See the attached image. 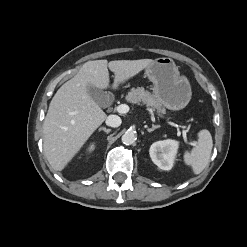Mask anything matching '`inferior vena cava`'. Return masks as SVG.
<instances>
[{
    "instance_id": "602c4592",
    "label": "inferior vena cava",
    "mask_w": 247,
    "mask_h": 247,
    "mask_svg": "<svg viewBox=\"0 0 247 247\" xmlns=\"http://www.w3.org/2000/svg\"><path fill=\"white\" fill-rule=\"evenodd\" d=\"M121 118L117 115H109L106 119V125L110 127H118L121 125Z\"/></svg>"
}]
</instances>
